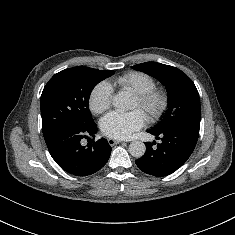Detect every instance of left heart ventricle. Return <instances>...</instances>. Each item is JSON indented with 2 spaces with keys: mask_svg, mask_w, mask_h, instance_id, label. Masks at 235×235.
Instances as JSON below:
<instances>
[{
  "mask_svg": "<svg viewBox=\"0 0 235 235\" xmlns=\"http://www.w3.org/2000/svg\"><path fill=\"white\" fill-rule=\"evenodd\" d=\"M132 108L133 109H141V110H143L141 105H140V103H139V101L136 98H134V101H133V104H132Z\"/></svg>",
  "mask_w": 235,
  "mask_h": 235,
  "instance_id": "obj_1",
  "label": "left heart ventricle"
}]
</instances>
